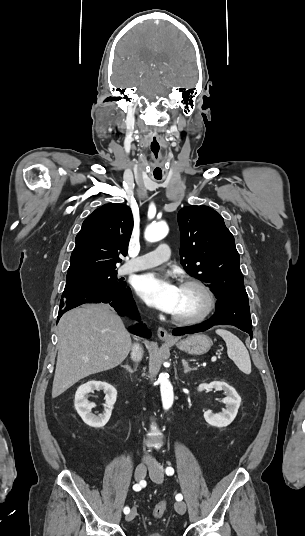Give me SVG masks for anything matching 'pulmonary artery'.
Instances as JSON below:
<instances>
[{"label": "pulmonary artery", "mask_w": 305, "mask_h": 536, "mask_svg": "<svg viewBox=\"0 0 305 536\" xmlns=\"http://www.w3.org/2000/svg\"><path fill=\"white\" fill-rule=\"evenodd\" d=\"M170 251L171 248L169 244H167L166 242H162L161 244H158V246L152 251H149L144 255H137L136 257H133V260L136 261L125 265L123 271L124 273H130L146 270L160 265L169 260L170 257L168 255Z\"/></svg>", "instance_id": "obj_1"}]
</instances>
